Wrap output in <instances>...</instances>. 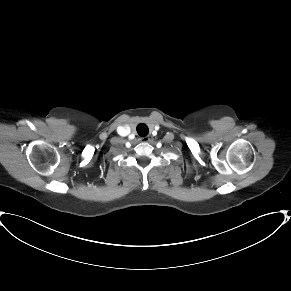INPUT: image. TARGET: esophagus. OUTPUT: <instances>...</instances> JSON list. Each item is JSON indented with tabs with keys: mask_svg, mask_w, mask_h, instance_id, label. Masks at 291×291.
Instances as JSON below:
<instances>
[{
	"mask_svg": "<svg viewBox=\"0 0 291 291\" xmlns=\"http://www.w3.org/2000/svg\"><path fill=\"white\" fill-rule=\"evenodd\" d=\"M140 141L148 142V141H150V138H149L148 136L141 137V138H140Z\"/></svg>",
	"mask_w": 291,
	"mask_h": 291,
	"instance_id": "34e87169",
	"label": "esophagus"
}]
</instances>
